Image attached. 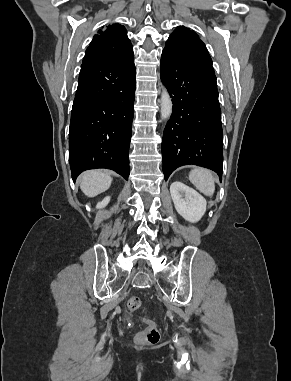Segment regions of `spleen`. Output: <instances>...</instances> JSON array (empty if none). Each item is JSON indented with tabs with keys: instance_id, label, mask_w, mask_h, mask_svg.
Masks as SVG:
<instances>
[{
	"instance_id": "1",
	"label": "spleen",
	"mask_w": 291,
	"mask_h": 381,
	"mask_svg": "<svg viewBox=\"0 0 291 381\" xmlns=\"http://www.w3.org/2000/svg\"><path fill=\"white\" fill-rule=\"evenodd\" d=\"M189 180L196 188L206 196H212L215 191L213 174L204 168H195L189 173Z\"/></svg>"
}]
</instances>
